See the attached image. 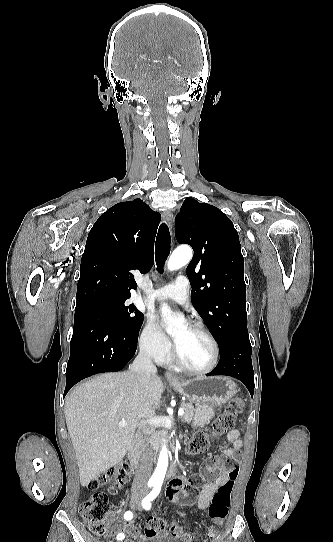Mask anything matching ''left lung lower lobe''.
Instances as JSON below:
<instances>
[{
	"label": "left lung lower lobe",
	"mask_w": 333,
	"mask_h": 542,
	"mask_svg": "<svg viewBox=\"0 0 333 542\" xmlns=\"http://www.w3.org/2000/svg\"><path fill=\"white\" fill-rule=\"evenodd\" d=\"M252 347L248 334H236L220 352L217 367L207 375H226L239 379L254 393V372L251 361Z\"/></svg>",
	"instance_id": "obj_1"
}]
</instances>
